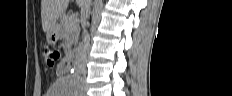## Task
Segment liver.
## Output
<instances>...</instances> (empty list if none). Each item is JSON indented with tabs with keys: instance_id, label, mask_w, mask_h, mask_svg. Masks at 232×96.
<instances>
[{
	"instance_id": "obj_1",
	"label": "liver",
	"mask_w": 232,
	"mask_h": 96,
	"mask_svg": "<svg viewBox=\"0 0 232 96\" xmlns=\"http://www.w3.org/2000/svg\"><path fill=\"white\" fill-rule=\"evenodd\" d=\"M82 3V1H78ZM69 0H41L42 29L48 33L57 26L56 22L66 10Z\"/></svg>"
}]
</instances>
